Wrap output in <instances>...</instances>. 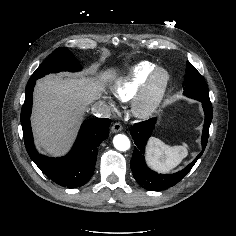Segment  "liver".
<instances>
[{
    "instance_id": "6515ba94",
    "label": "liver",
    "mask_w": 236,
    "mask_h": 236,
    "mask_svg": "<svg viewBox=\"0 0 236 236\" xmlns=\"http://www.w3.org/2000/svg\"><path fill=\"white\" fill-rule=\"evenodd\" d=\"M113 77L108 71L98 77L48 75L38 80L31 120L38 148L52 156L65 154L81 117Z\"/></svg>"
}]
</instances>
